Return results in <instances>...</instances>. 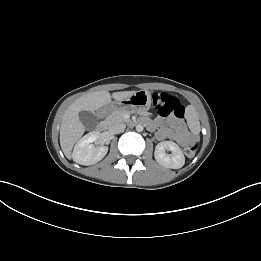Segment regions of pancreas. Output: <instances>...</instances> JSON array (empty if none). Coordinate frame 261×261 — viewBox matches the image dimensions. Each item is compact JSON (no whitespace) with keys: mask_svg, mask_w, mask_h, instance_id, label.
<instances>
[{"mask_svg":"<svg viewBox=\"0 0 261 261\" xmlns=\"http://www.w3.org/2000/svg\"><path fill=\"white\" fill-rule=\"evenodd\" d=\"M134 112H135L134 110H124V109L114 111L105 119V122L108 126L120 122H128L129 120L125 118V114L134 113Z\"/></svg>","mask_w":261,"mask_h":261,"instance_id":"pancreas-1","label":"pancreas"}]
</instances>
